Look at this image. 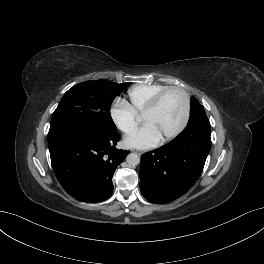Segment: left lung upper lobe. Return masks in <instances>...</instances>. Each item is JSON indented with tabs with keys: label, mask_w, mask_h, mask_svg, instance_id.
<instances>
[{
	"label": "left lung upper lobe",
	"mask_w": 264,
	"mask_h": 264,
	"mask_svg": "<svg viewBox=\"0 0 264 264\" xmlns=\"http://www.w3.org/2000/svg\"><path fill=\"white\" fill-rule=\"evenodd\" d=\"M202 120H205L204 123L210 125L203 106H201L198 100L194 96H192L190 118L187 125H191L193 123H199Z\"/></svg>",
	"instance_id": "1"
}]
</instances>
